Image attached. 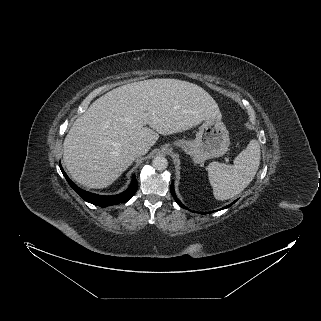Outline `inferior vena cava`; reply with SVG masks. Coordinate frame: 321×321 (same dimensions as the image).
I'll use <instances>...</instances> for the list:
<instances>
[{"mask_svg":"<svg viewBox=\"0 0 321 321\" xmlns=\"http://www.w3.org/2000/svg\"><path fill=\"white\" fill-rule=\"evenodd\" d=\"M150 147L147 144H137L132 147V153L135 157L145 155L149 151Z\"/></svg>","mask_w":321,"mask_h":321,"instance_id":"obj_1","label":"inferior vena cava"}]
</instances>
